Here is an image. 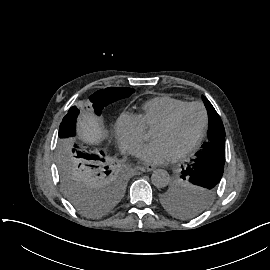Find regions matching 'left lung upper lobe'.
Wrapping results in <instances>:
<instances>
[{"mask_svg":"<svg viewBox=\"0 0 270 270\" xmlns=\"http://www.w3.org/2000/svg\"><path fill=\"white\" fill-rule=\"evenodd\" d=\"M208 111V140L180 178L161 194L163 206L172 214L192 218L204 212L213 200L224 171L225 129L212 104L203 96Z\"/></svg>","mask_w":270,"mask_h":270,"instance_id":"obj_1","label":"left lung upper lobe"}]
</instances>
